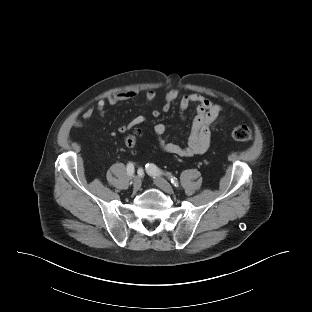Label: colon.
<instances>
[{
	"label": "colon",
	"mask_w": 312,
	"mask_h": 312,
	"mask_svg": "<svg viewBox=\"0 0 312 312\" xmlns=\"http://www.w3.org/2000/svg\"><path fill=\"white\" fill-rule=\"evenodd\" d=\"M232 137L237 141H250L253 138V133L251 128L246 125H239L233 128L232 130ZM139 136V131H134L133 133L129 134L125 138V145L132 149L137 141V137Z\"/></svg>",
	"instance_id": "obj_1"
}]
</instances>
